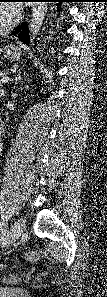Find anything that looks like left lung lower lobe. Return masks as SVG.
<instances>
[{
    "mask_svg": "<svg viewBox=\"0 0 107 297\" xmlns=\"http://www.w3.org/2000/svg\"><path fill=\"white\" fill-rule=\"evenodd\" d=\"M35 1H47V2H70L69 0H35ZM12 35H18L20 40L25 44H29L28 28L27 24L19 26Z\"/></svg>",
    "mask_w": 107,
    "mask_h": 297,
    "instance_id": "1",
    "label": "left lung lower lobe"
}]
</instances>
